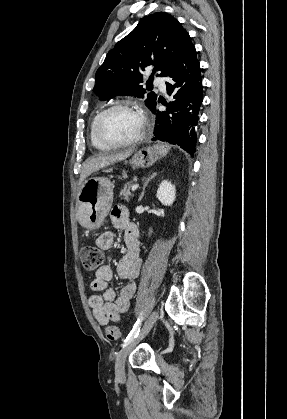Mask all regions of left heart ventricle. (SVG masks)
I'll use <instances>...</instances> for the list:
<instances>
[{"label":"left heart ventricle","instance_id":"1","mask_svg":"<svg viewBox=\"0 0 287 419\" xmlns=\"http://www.w3.org/2000/svg\"><path fill=\"white\" fill-rule=\"evenodd\" d=\"M142 126L139 113L132 109H117L105 118L102 133L110 140L123 141L135 137Z\"/></svg>","mask_w":287,"mask_h":419}]
</instances>
